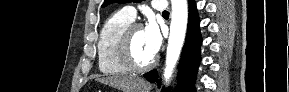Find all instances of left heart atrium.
I'll use <instances>...</instances> for the list:
<instances>
[{"mask_svg": "<svg viewBox=\"0 0 289 92\" xmlns=\"http://www.w3.org/2000/svg\"><path fill=\"white\" fill-rule=\"evenodd\" d=\"M143 31L147 47L151 54L155 56L159 51L162 43V37L159 27L153 20H150L146 24Z\"/></svg>", "mask_w": 289, "mask_h": 92, "instance_id": "obj_1", "label": "left heart atrium"}]
</instances>
